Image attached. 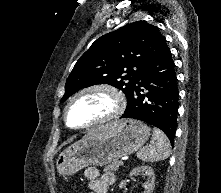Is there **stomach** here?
<instances>
[{
	"label": "stomach",
	"instance_id": "stomach-1",
	"mask_svg": "<svg viewBox=\"0 0 221 193\" xmlns=\"http://www.w3.org/2000/svg\"><path fill=\"white\" fill-rule=\"evenodd\" d=\"M149 136V127L138 120H119L98 126L59 155L57 171L61 175H72L90 165H106L137 151Z\"/></svg>",
	"mask_w": 221,
	"mask_h": 193
}]
</instances>
